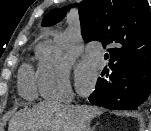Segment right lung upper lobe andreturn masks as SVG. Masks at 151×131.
Returning a JSON list of instances; mask_svg holds the SVG:
<instances>
[{
    "mask_svg": "<svg viewBox=\"0 0 151 131\" xmlns=\"http://www.w3.org/2000/svg\"><path fill=\"white\" fill-rule=\"evenodd\" d=\"M79 16L85 41L116 46L108 49L110 67L134 69L151 64V13L146 0H84ZM62 18L60 9L53 10L43 25Z\"/></svg>",
    "mask_w": 151,
    "mask_h": 131,
    "instance_id": "1",
    "label": "right lung upper lobe"
}]
</instances>
